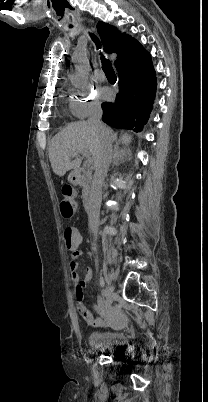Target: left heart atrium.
Segmentation results:
<instances>
[{
	"label": "left heart atrium",
	"instance_id": "left-heart-atrium-1",
	"mask_svg": "<svg viewBox=\"0 0 208 402\" xmlns=\"http://www.w3.org/2000/svg\"><path fill=\"white\" fill-rule=\"evenodd\" d=\"M99 96L102 100L109 101L113 97V91L109 86L102 85L99 88Z\"/></svg>",
	"mask_w": 208,
	"mask_h": 402
}]
</instances>
